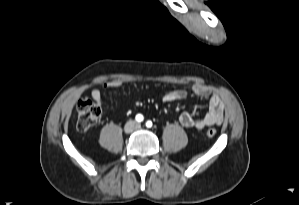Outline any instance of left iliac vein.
<instances>
[{
  "instance_id": "4c4485c4",
  "label": "left iliac vein",
  "mask_w": 299,
  "mask_h": 205,
  "mask_svg": "<svg viewBox=\"0 0 299 205\" xmlns=\"http://www.w3.org/2000/svg\"><path fill=\"white\" fill-rule=\"evenodd\" d=\"M136 128H137V129H140V128H141V125H140V124H137V125H136Z\"/></svg>"
}]
</instances>
